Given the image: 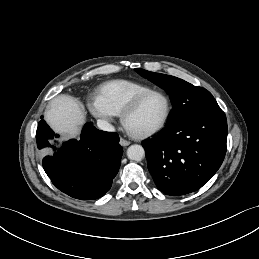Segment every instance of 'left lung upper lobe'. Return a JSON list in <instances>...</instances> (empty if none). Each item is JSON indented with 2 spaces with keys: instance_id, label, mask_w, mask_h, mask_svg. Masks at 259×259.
<instances>
[{
  "instance_id": "1",
  "label": "left lung upper lobe",
  "mask_w": 259,
  "mask_h": 259,
  "mask_svg": "<svg viewBox=\"0 0 259 259\" xmlns=\"http://www.w3.org/2000/svg\"><path fill=\"white\" fill-rule=\"evenodd\" d=\"M135 70L169 94L173 110L167 126L220 110L212 94L202 87L194 86L174 76L153 73L140 68Z\"/></svg>"
}]
</instances>
